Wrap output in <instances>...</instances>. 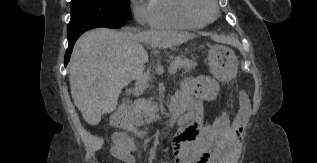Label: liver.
<instances>
[{"label":"liver","mask_w":317,"mask_h":163,"mask_svg":"<svg viewBox=\"0 0 317 163\" xmlns=\"http://www.w3.org/2000/svg\"><path fill=\"white\" fill-rule=\"evenodd\" d=\"M195 38L172 31H115L96 28L76 42L69 65L71 95L75 106L90 125H98L113 112L122 88L141 78L148 62L143 44L170 48Z\"/></svg>","instance_id":"1"}]
</instances>
